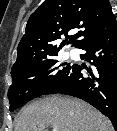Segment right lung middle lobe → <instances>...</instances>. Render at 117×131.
Here are the masks:
<instances>
[{
	"label": "right lung middle lobe",
	"instance_id": "obj_1",
	"mask_svg": "<svg viewBox=\"0 0 117 131\" xmlns=\"http://www.w3.org/2000/svg\"><path fill=\"white\" fill-rule=\"evenodd\" d=\"M57 54L50 53L37 62L11 70L10 111L61 86L72 65L56 60Z\"/></svg>",
	"mask_w": 117,
	"mask_h": 131
}]
</instances>
